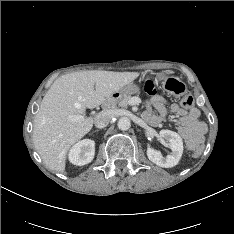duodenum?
I'll list each match as a JSON object with an SVG mask.
<instances>
[{"mask_svg": "<svg viewBox=\"0 0 234 234\" xmlns=\"http://www.w3.org/2000/svg\"><path fill=\"white\" fill-rule=\"evenodd\" d=\"M119 94L118 93H115L113 95H111L109 98H107L105 100V102L103 103V108L104 109H110L111 107H113V105L116 103V101L118 100L119 98Z\"/></svg>", "mask_w": 234, "mask_h": 234, "instance_id": "1", "label": "duodenum"}]
</instances>
